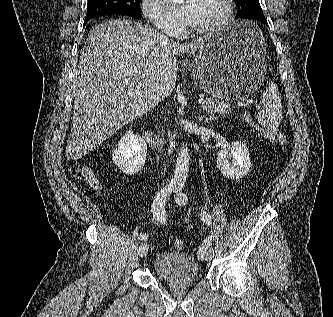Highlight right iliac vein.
I'll return each instance as SVG.
<instances>
[{"label": "right iliac vein", "instance_id": "63e3f726", "mask_svg": "<svg viewBox=\"0 0 333 317\" xmlns=\"http://www.w3.org/2000/svg\"><path fill=\"white\" fill-rule=\"evenodd\" d=\"M148 249H149V247H148L147 243H145V242L141 243L140 246H139V255H140V257H145L148 253Z\"/></svg>", "mask_w": 333, "mask_h": 317}]
</instances>
